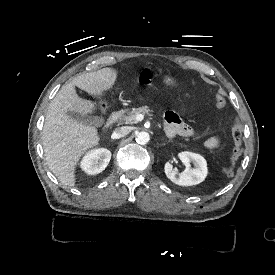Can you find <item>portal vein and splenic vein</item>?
Here are the masks:
<instances>
[{"instance_id":"portal-vein-and-splenic-vein-1","label":"portal vein and splenic vein","mask_w":275,"mask_h":275,"mask_svg":"<svg viewBox=\"0 0 275 275\" xmlns=\"http://www.w3.org/2000/svg\"><path fill=\"white\" fill-rule=\"evenodd\" d=\"M143 120H144V115L142 114L136 115L134 119L135 122H142Z\"/></svg>"}]
</instances>
